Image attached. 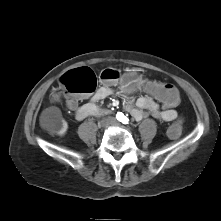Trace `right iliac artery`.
Returning a JSON list of instances; mask_svg holds the SVG:
<instances>
[{"label":"right iliac artery","instance_id":"1","mask_svg":"<svg viewBox=\"0 0 221 221\" xmlns=\"http://www.w3.org/2000/svg\"><path fill=\"white\" fill-rule=\"evenodd\" d=\"M122 117H123V114L120 113V112H118L117 115H116V118H117L118 120H120Z\"/></svg>","mask_w":221,"mask_h":221}]
</instances>
